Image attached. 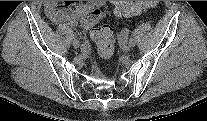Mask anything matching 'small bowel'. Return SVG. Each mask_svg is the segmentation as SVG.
Masks as SVG:
<instances>
[{
  "instance_id": "1",
  "label": "small bowel",
  "mask_w": 207,
  "mask_h": 121,
  "mask_svg": "<svg viewBox=\"0 0 207 121\" xmlns=\"http://www.w3.org/2000/svg\"><path fill=\"white\" fill-rule=\"evenodd\" d=\"M116 6L117 3L115 2ZM101 1H46L44 10L46 16L54 23H63L68 26L80 24L84 29L100 22L103 17Z\"/></svg>"
}]
</instances>
